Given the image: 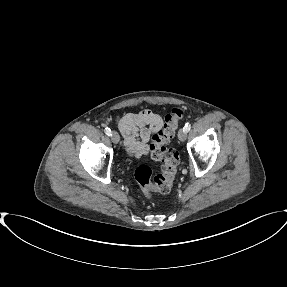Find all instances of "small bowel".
I'll list each match as a JSON object with an SVG mask.
<instances>
[{"instance_id": "small-bowel-1", "label": "small bowel", "mask_w": 287, "mask_h": 287, "mask_svg": "<svg viewBox=\"0 0 287 287\" xmlns=\"http://www.w3.org/2000/svg\"><path fill=\"white\" fill-rule=\"evenodd\" d=\"M162 124V117L151 110L127 113L117 120L128 152L137 158L148 154L151 138Z\"/></svg>"}]
</instances>
